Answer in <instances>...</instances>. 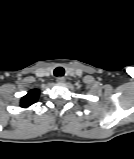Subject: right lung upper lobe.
<instances>
[{"instance_id":"right-lung-upper-lobe-1","label":"right lung upper lobe","mask_w":134,"mask_h":159,"mask_svg":"<svg viewBox=\"0 0 134 159\" xmlns=\"http://www.w3.org/2000/svg\"><path fill=\"white\" fill-rule=\"evenodd\" d=\"M38 96H39V91L37 89L29 91L28 94L21 99V106L28 107L32 105L37 101Z\"/></svg>"}]
</instances>
